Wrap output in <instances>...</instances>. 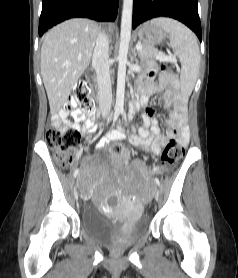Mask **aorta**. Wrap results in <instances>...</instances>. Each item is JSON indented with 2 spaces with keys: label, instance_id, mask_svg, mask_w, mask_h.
I'll list each match as a JSON object with an SVG mask.
<instances>
[{
  "label": "aorta",
  "instance_id": "762f6f07",
  "mask_svg": "<svg viewBox=\"0 0 238 278\" xmlns=\"http://www.w3.org/2000/svg\"><path fill=\"white\" fill-rule=\"evenodd\" d=\"M133 0H123L121 19L120 47L118 55L117 91L115 113H122L124 110L126 64L129 42L132 29Z\"/></svg>",
  "mask_w": 238,
  "mask_h": 278
}]
</instances>
